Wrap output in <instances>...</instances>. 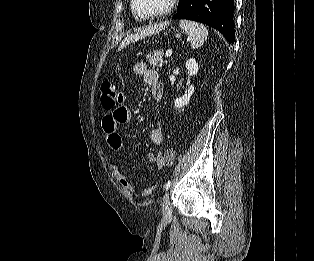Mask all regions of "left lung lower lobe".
<instances>
[{
  "label": "left lung lower lobe",
  "mask_w": 314,
  "mask_h": 261,
  "mask_svg": "<svg viewBox=\"0 0 314 261\" xmlns=\"http://www.w3.org/2000/svg\"><path fill=\"white\" fill-rule=\"evenodd\" d=\"M234 0H184L173 20L188 19L207 24L234 43Z\"/></svg>",
  "instance_id": "1"
}]
</instances>
